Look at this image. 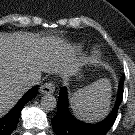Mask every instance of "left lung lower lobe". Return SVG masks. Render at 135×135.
<instances>
[{"mask_svg":"<svg viewBox=\"0 0 135 135\" xmlns=\"http://www.w3.org/2000/svg\"><path fill=\"white\" fill-rule=\"evenodd\" d=\"M124 75L120 79L118 96L111 114L96 124L83 123L74 118L68 109V97L65 87L60 89L57 113L52 118V126L57 135H105L114 124L118 108L123 98Z\"/></svg>","mask_w":135,"mask_h":135,"instance_id":"obj_1","label":"left lung lower lobe"}]
</instances>
